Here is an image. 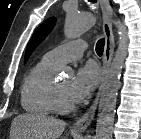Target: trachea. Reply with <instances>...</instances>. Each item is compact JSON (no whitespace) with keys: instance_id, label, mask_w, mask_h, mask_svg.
Listing matches in <instances>:
<instances>
[{"instance_id":"obj_1","label":"trachea","mask_w":141,"mask_h":139,"mask_svg":"<svg viewBox=\"0 0 141 139\" xmlns=\"http://www.w3.org/2000/svg\"><path fill=\"white\" fill-rule=\"evenodd\" d=\"M88 1L89 2H93V3H96L97 0H88ZM104 44H105V39L104 38L98 40V42L96 44V53L99 56H101L103 54Z\"/></svg>"}]
</instances>
